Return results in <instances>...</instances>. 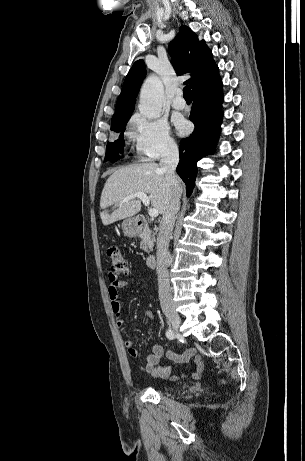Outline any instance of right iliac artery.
Instances as JSON below:
<instances>
[{
  "instance_id": "right-iliac-artery-1",
  "label": "right iliac artery",
  "mask_w": 305,
  "mask_h": 461,
  "mask_svg": "<svg viewBox=\"0 0 305 461\" xmlns=\"http://www.w3.org/2000/svg\"><path fill=\"white\" fill-rule=\"evenodd\" d=\"M166 336L168 339L173 340L175 338V333L171 329L166 331Z\"/></svg>"
}]
</instances>
